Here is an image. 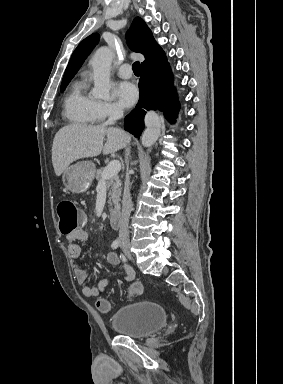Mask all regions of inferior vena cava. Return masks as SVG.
Segmentation results:
<instances>
[{
    "mask_svg": "<svg viewBox=\"0 0 283 384\" xmlns=\"http://www.w3.org/2000/svg\"><path fill=\"white\" fill-rule=\"evenodd\" d=\"M123 116V108L119 106V104H111L109 108V118L107 122H105L104 126H111V124H115L116 120L122 118ZM128 140H130L129 136H126ZM130 154L129 148H126V158L128 160V156ZM130 180L126 178L125 186H124V194L122 200V214H121V226L119 232V246L120 248H130L129 242V218L132 210V200L130 194Z\"/></svg>",
    "mask_w": 283,
    "mask_h": 384,
    "instance_id": "inferior-vena-cava-1",
    "label": "inferior vena cava"
}]
</instances>
